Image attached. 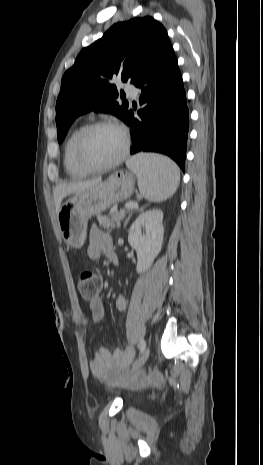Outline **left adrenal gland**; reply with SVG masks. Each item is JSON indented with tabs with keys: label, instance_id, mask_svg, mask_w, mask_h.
Segmentation results:
<instances>
[{
	"label": "left adrenal gland",
	"instance_id": "1",
	"mask_svg": "<svg viewBox=\"0 0 263 465\" xmlns=\"http://www.w3.org/2000/svg\"><path fill=\"white\" fill-rule=\"evenodd\" d=\"M131 216H132V213H130V214L128 215V217H127V219H126V221H125V223H124V227L127 225V223H128V221L130 220Z\"/></svg>",
	"mask_w": 263,
	"mask_h": 465
}]
</instances>
